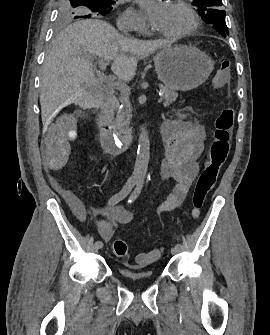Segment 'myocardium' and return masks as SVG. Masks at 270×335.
<instances>
[{
  "mask_svg": "<svg viewBox=\"0 0 270 335\" xmlns=\"http://www.w3.org/2000/svg\"><path fill=\"white\" fill-rule=\"evenodd\" d=\"M177 9L185 12L189 18H190V26L182 31V32H179V33H176V34H173V37L175 38H183V37H186V36H189L191 35L192 33H194L199 25H200V19L198 17V15L195 13V11L192 9V7L190 5H185V4H178L176 6ZM173 78H180V77H173Z\"/></svg>",
  "mask_w": 270,
  "mask_h": 335,
  "instance_id": "myocardium-1",
  "label": "myocardium"
}]
</instances>
